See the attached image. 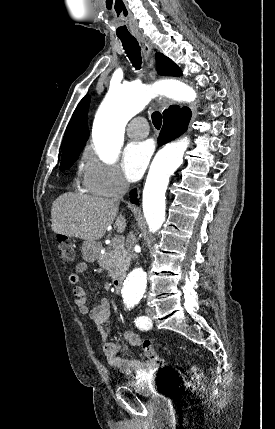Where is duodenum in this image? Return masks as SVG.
Here are the masks:
<instances>
[{
	"label": "duodenum",
	"instance_id": "410a0bca",
	"mask_svg": "<svg viewBox=\"0 0 275 429\" xmlns=\"http://www.w3.org/2000/svg\"><path fill=\"white\" fill-rule=\"evenodd\" d=\"M112 285H113L115 292L119 293L121 291V288H122V278L118 277V278L114 279Z\"/></svg>",
	"mask_w": 275,
	"mask_h": 429
}]
</instances>
